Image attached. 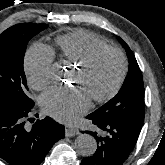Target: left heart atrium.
Returning a JSON list of instances; mask_svg holds the SVG:
<instances>
[{
  "mask_svg": "<svg viewBox=\"0 0 165 165\" xmlns=\"http://www.w3.org/2000/svg\"><path fill=\"white\" fill-rule=\"evenodd\" d=\"M43 111L60 122H73L90 106L89 96L79 87L52 88L40 99Z\"/></svg>",
  "mask_w": 165,
  "mask_h": 165,
  "instance_id": "obj_1",
  "label": "left heart atrium"
}]
</instances>
